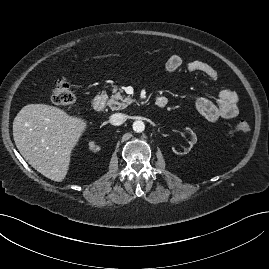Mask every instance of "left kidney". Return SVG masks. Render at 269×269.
I'll use <instances>...</instances> for the list:
<instances>
[{
  "instance_id": "obj_1",
  "label": "left kidney",
  "mask_w": 269,
  "mask_h": 269,
  "mask_svg": "<svg viewBox=\"0 0 269 269\" xmlns=\"http://www.w3.org/2000/svg\"><path fill=\"white\" fill-rule=\"evenodd\" d=\"M189 134H190V140L188 141L190 147L189 148H184V150H181V152H179L178 150H176L174 147H172V150L175 154L177 155H186L192 148V146L197 142V136L196 134L192 131V130H188Z\"/></svg>"
}]
</instances>
